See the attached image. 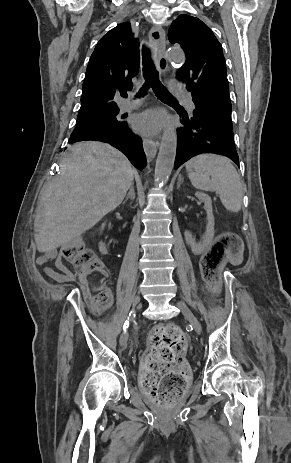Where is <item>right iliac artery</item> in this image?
<instances>
[{
	"mask_svg": "<svg viewBox=\"0 0 291 463\" xmlns=\"http://www.w3.org/2000/svg\"><path fill=\"white\" fill-rule=\"evenodd\" d=\"M135 316V311L132 310L130 313H129V316H128V319L125 321L124 325H123V330L126 331V329L128 328L129 326V320L131 318H133Z\"/></svg>",
	"mask_w": 291,
	"mask_h": 463,
	"instance_id": "right-iliac-artery-1",
	"label": "right iliac artery"
}]
</instances>
